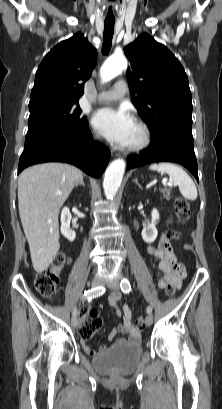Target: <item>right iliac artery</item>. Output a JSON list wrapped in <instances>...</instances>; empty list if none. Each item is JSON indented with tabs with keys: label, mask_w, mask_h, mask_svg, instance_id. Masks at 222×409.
Masks as SVG:
<instances>
[{
	"label": "right iliac artery",
	"mask_w": 222,
	"mask_h": 409,
	"mask_svg": "<svg viewBox=\"0 0 222 409\" xmlns=\"http://www.w3.org/2000/svg\"><path fill=\"white\" fill-rule=\"evenodd\" d=\"M105 293V287L99 286L96 288H92L84 292L82 298L87 300H92L93 298H97ZM73 316H77V308L75 307L72 312Z\"/></svg>",
	"instance_id": "obj_1"
}]
</instances>
